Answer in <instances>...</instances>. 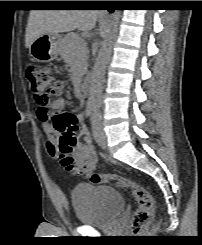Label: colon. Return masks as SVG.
Masks as SVG:
<instances>
[{
    "mask_svg": "<svg viewBox=\"0 0 202 245\" xmlns=\"http://www.w3.org/2000/svg\"><path fill=\"white\" fill-rule=\"evenodd\" d=\"M58 73V71L44 65L34 63L29 64L26 69V77L31 85L38 113L43 117V121L49 122L52 128L60 133L58 146L54 152L59 154L62 168L70 173L77 174L78 169L74 165L70 153L78 140L76 131L79 128L80 120L77 116L68 112L51 114L49 110L51 98L61 91L62 81ZM91 182L93 184L115 182L133 192L138 207L133 213L131 227L135 236L140 235L142 227L149 223L154 216L155 205L150 192L124 175L112 173L92 174Z\"/></svg>",
    "mask_w": 202,
    "mask_h": 245,
    "instance_id": "colon-1",
    "label": "colon"
}]
</instances>
